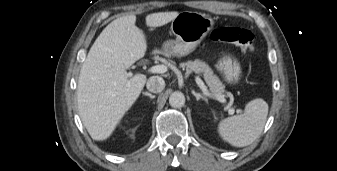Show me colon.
<instances>
[{
    "label": "colon",
    "mask_w": 337,
    "mask_h": 171,
    "mask_svg": "<svg viewBox=\"0 0 337 171\" xmlns=\"http://www.w3.org/2000/svg\"><path fill=\"white\" fill-rule=\"evenodd\" d=\"M211 39L236 45L246 54L253 53L254 36L248 29L233 26L217 28L211 33Z\"/></svg>",
    "instance_id": "obj_1"
}]
</instances>
